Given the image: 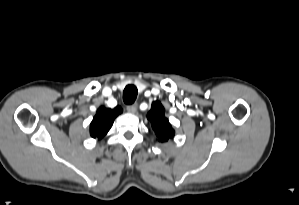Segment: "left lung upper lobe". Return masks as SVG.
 Segmentation results:
<instances>
[{"mask_svg":"<svg viewBox=\"0 0 299 205\" xmlns=\"http://www.w3.org/2000/svg\"><path fill=\"white\" fill-rule=\"evenodd\" d=\"M164 112L165 109L162 104L159 101H155L152 103L151 110L147 115L160 142L167 141L175 134V131L165 117Z\"/></svg>","mask_w":299,"mask_h":205,"instance_id":"1","label":"left lung upper lobe"}]
</instances>
